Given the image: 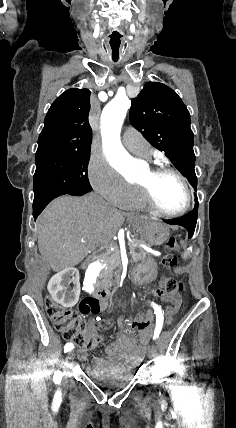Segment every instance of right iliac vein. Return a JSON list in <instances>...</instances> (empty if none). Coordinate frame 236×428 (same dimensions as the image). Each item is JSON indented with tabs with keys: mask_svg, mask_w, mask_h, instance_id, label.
I'll return each instance as SVG.
<instances>
[{
	"mask_svg": "<svg viewBox=\"0 0 236 428\" xmlns=\"http://www.w3.org/2000/svg\"><path fill=\"white\" fill-rule=\"evenodd\" d=\"M70 354L73 356L75 353L72 351Z\"/></svg>",
	"mask_w": 236,
	"mask_h": 428,
	"instance_id": "obj_1",
	"label": "right iliac vein"
}]
</instances>
